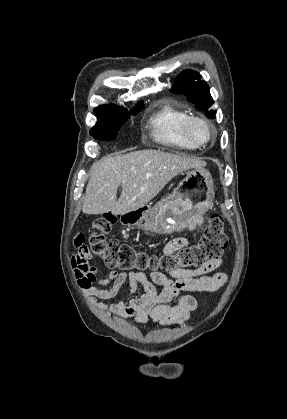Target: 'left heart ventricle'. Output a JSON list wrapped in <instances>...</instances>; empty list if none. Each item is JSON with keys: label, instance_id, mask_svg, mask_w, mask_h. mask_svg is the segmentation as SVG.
<instances>
[{"label": "left heart ventricle", "instance_id": "obj_1", "mask_svg": "<svg viewBox=\"0 0 287 419\" xmlns=\"http://www.w3.org/2000/svg\"><path fill=\"white\" fill-rule=\"evenodd\" d=\"M190 134L192 138L197 141L205 140L208 137V132L206 128L199 123H194L191 125Z\"/></svg>", "mask_w": 287, "mask_h": 419}]
</instances>
